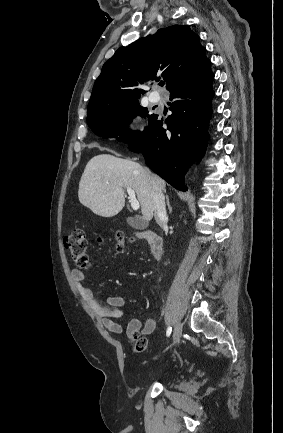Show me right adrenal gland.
Here are the masks:
<instances>
[{
  "label": "right adrenal gland",
  "mask_w": 283,
  "mask_h": 433,
  "mask_svg": "<svg viewBox=\"0 0 283 433\" xmlns=\"http://www.w3.org/2000/svg\"><path fill=\"white\" fill-rule=\"evenodd\" d=\"M166 200H167V206L169 208V212H172V206H171V204L169 202V196H168V194H166Z\"/></svg>",
  "instance_id": "1"
}]
</instances>
